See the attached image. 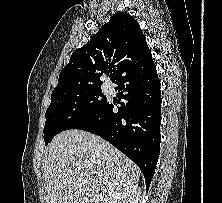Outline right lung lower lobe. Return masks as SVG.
Returning <instances> with one entry per match:
<instances>
[{"mask_svg": "<svg viewBox=\"0 0 222 203\" xmlns=\"http://www.w3.org/2000/svg\"><path fill=\"white\" fill-rule=\"evenodd\" d=\"M113 83L120 99L118 111L106 101L68 129L98 135L114 145L141 169L146 188L153 178L160 153L161 93L153 60L134 68ZM67 129V130H68Z\"/></svg>", "mask_w": 222, "mask_h": 203, "instance_id": "1", "label": "right lung lower lobe"}]
</instances>
